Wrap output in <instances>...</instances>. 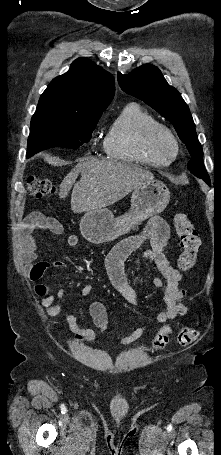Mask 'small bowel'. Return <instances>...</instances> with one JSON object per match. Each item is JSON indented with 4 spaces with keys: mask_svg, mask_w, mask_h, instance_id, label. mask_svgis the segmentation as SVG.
I'll return each instance as SVG.
<instances>
[{
    "mask_svg": "<svg viewBox=\"0 0 221 455\" xmlns=\"http://www.w3.org/2000/svg\"><path fill=\"white\" fill-rule=\"evenodd\" d=\"M37 229L56 235L62 234L64 231L58 220L43 213H32L25 220L20 234V253L24 264L31 266L30 277L33 281L39 280L50 268H62L66 265L63 261L35 262L37 253L34 232ZM169 238L170 229L167 223L159 217H154L149 221L142 234L122 240L112 248L105 258L106 271L113 287L131 304L138 303V295L127 281L126 260L133 257L136 269H139L143 260H147L153 265L159 273V277L153 279V285L162 292V301L165 306L157 314L156 321L159 324L184 316L188 311L183 302L185 290L181 287L182 276L164 254V248L168 245ZM144 241L149 242V247L140 251ZM78 243L79 237L77 235L68 236L67 244L69 246H76ZM34 289L36 294L41 296L40 303L49 316H57L62 312L61 300L64 290L53 294L50 292L49 286L44 283H37ZM91 291L92 285L85 284L82 287L81 295L87 297ZM89 313L94 328H83L78 324L75 316L70 313L66 314L67 324L77 341H93L98 334L106 333L111 329L105 306L101 302L94 301L90 305ZM145 331L146 326L136 328L129 335L123 337L120 344L129 345L135 342Z\"/></svg>",
    "mask_w": 221,
    "mask_h": 455,
    "instance_id": "obj_1",
    "label": "small bowel"
}]
</instances>
